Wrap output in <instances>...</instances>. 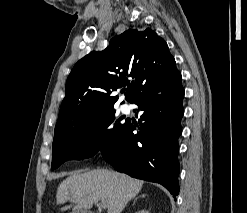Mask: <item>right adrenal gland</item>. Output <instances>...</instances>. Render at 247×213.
Segmentation results:
<instances>
[{"label": "right adrenal gland", "mask_w": 247, "mask_h": 213, "mask_svg": "<svg viewBox=\"0 0 247 213\" xmlns=\"http://www.w3.org/2000/svg\"><path fill=\"white\" fill-rule=\"evenodd\" d=\"M140 197H144V195H141ZM138 198L139 197H136L133 202L135 203Z\"/></svg>", "instance_id": "obj_1"}]
</instances>
